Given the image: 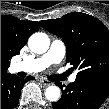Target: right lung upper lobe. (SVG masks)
<instances>
[{
	"mask_svg": "<svg viewBox=\"0 0 109 109\" xmlns=\"http://www.w3.org/2000/svg\"><path fill=\"white\" fill-rule=\"evenodd\" d=\"M39 28L37 21H23L11 15L1 16V75L7 74L11 58L20 53L30 35Z\"/></svg>",
	"mask_w": 109,
	"mask_h": 109,
	"instance_id": "obj_1",
	"label": "right lung upper lobe"
}]
</instances>
